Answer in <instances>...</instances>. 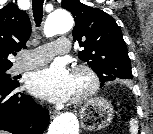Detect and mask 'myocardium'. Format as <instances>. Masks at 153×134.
<instances>
[{"mask_svg": "<svg viewBox=\"0 0 153 134\" xmlns=\"http://www.w3.org/2000/svg\"><path fill=\"white\" fill-rule=\"evenodd\" d=\"M73 75H84L87 79L86 89L71 99L72 103L78 104L86 101L95 94L99 88L100 79L97 72L87 64H78L74 66Z\"/></svg>", "mask_w": 153, "mask_h": 134, "instance_id": "f54148a6", "label": "myocardium"}]
</instances>
